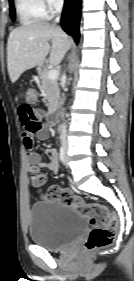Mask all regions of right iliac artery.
Segmentation results:
<instances>
[{
  "mask_svg": "<svg viewBox=\"0 0 134 281\" xmlns=\"http://www.w3.org/2000/svg\"><path fill=\"white\" fill-rule=\"evenodd\" d=\"M59 158H60L61 162L64 163V161H65V151H64L63 146L60 147Z\"/></svg>",
  "mask_w": 134,
  "mask_h": 281,
  "instance_id": "right-iliac-artery-1",
  "label": "right iliac artery"
}]
</instances>
